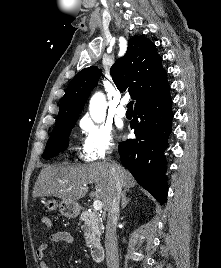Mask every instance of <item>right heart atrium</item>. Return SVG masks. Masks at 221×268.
<instances>
[{"label":"right heart atrium","instance_id":"d8ad5b80","mask_svg":"<svg viewBox=\"0 0 221 268\" xmlns=\"http://www.w3.org/2000/svg\"><path fill=\"white\" fill-rule=\"evenodd\" d=\"M80 127L84 133L82 156L85 160L97 161L111 153L114 137L109 125L85 117L80 121Z\"/></svg>","mask_w":221,"mask_h":268}]
</instances>
